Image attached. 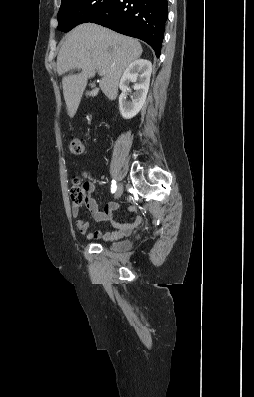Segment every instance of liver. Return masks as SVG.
<instances>
[{
	"mask_svg": "<svg viewBox=\"0 0 254 397\" xmlns=\"http://www.w3.org/2000/svg\"><path fill=\"white\" fill-rule=\"evenodd\" d=\"M143 49L138 40L118 34L93 23L75 27L66 37L57 56V72L64 75L72 69L81 73L62 78L67 112L73 118L89 78L96 70L104 71L99 86L111 100L117 97L123 71L140 58Z\"/></svg>",
	"mask_w": 254,
	"mask_h": 397,
	"instance_id": "obj_1",
	"label": "liver"
}]
</instances>
